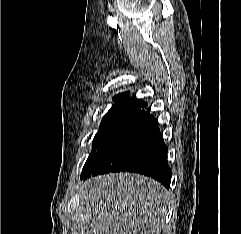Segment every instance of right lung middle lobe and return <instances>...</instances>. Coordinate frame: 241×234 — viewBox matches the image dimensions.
<instances>
[{
	"instance_id": "obj_1",
	"label": "right lung middle lobe",
	"mask_w": 241,
	"mask_h": 234,
	"mask_svg": "<svg viewBox=\"0 0 241 234\" xmlns=\"http://www.w3.org/2000/svg\"><path fill=\"white\" fill-rule=\"evenodd\" d=\"M137 108L138 106L135 105H114L107 112V114L102 119L99 131L94 137L93 148L88 160L95 153L102 142Z\"/></svg>"
}]
</instances>
